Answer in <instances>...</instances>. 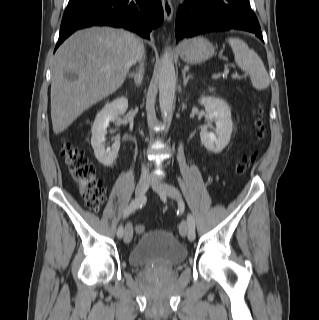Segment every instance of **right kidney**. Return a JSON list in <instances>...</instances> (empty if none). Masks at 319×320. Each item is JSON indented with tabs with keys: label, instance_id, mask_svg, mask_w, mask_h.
Returning <instances> with one entry per match:
<instances>
[{
	"label": "right kidney",
	"instance_id": "obj_1",
	"mask_svg": "<svg viewBox=\"0 0 319 320\" xmlns=\"http://www.w3.org/2000/svg\"><path fill=\"white\" fill-rule=\"evenodd\" d=\"M128 108L126 97H118L112 102L106 103L101 111L97 114L93 123L91 132V145L97 160L104 166H112L117 158L120 141L114 142L112 147L105 148V135L110 121H114L118 116L123 115Z\"/></svg>",
	"mask_w": 319,
	"mask_h": 320
}]
</instances>
